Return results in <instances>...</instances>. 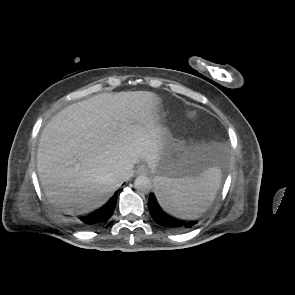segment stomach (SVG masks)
Listing matches in <instances>:
<instances>
[{"label":"stomach","instance_id":"stomach-1","mask_svg":"<svg viewBox=\"0 0 295 295\" xmlns=\"http://www.w3.org/2000/svg\"><path fill=\"white\" fill-rule=\"evenodd\" d=\"M210 167L211 160L206 145H187L176 140L168 130L158 163L151 171L156 177L169 179L199 178Z\"/></svg>","mask_w":295,"mask_h":295}]
</instances>
